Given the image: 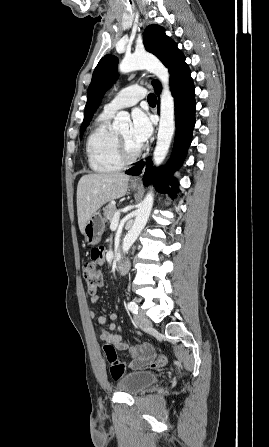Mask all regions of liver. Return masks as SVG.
<instances>
[{
	"mask_svg": "<svg viewBox=\"0 0 269 447\" xmlns=\"http://www.w3.org/2000/svg\"><path fill=\"white\" fill-rule=\"evenodd\" d=\"M129 176L125 174H88L77 186V216L81 233L89 218L111 200L123 198L127 192Z\"/></svg>",
	"mask_w": 269,
	"mask_h": 447,
	"instance_id": "6515ba94",
	"label": "liver"
}]
</instances>
